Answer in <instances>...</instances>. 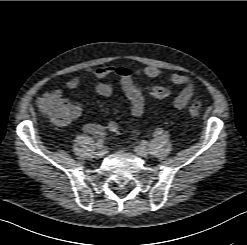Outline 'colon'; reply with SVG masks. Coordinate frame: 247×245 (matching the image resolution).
<instances>
[{
    "mask_svg": "<svg viewBox=\"0 0 247 245\" xmlns=\"http://www.w3.org/2000/svg\"><path fill=\"white\" fill-rule=\"evenodd\" d=\"M148 94L152 99L160 100L169 95V90L160 86H151L148 88ZM40 108L57 125H64L69 121L70 105L65 98L49 95L42 101ZM200 108V101L196 98L193 99L189 109L190 116L192 118L198 117ZM108 127L114 133L119 132V125L114 119L109 120Z\"/></svg>",
    "mask_w": 247,
    "mask_h": 245,
    "instance_id": "1",
    "label": "colon"
}]
</instances>
